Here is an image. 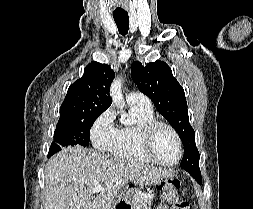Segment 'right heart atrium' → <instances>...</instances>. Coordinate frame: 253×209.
<instances>
[{
	"label": "right heart atrium",
	"instance_id": "obj_1",
	"mask_svg": "<svg viewBox=\"0 0 253 209\" xmlns=\"http://www.w3.org/2000/svg\"><path fill=\"white\" fill-rule=\"evenodd\" d=\"M118 131L113 113L109 110L101 113L90 128V138L94 148L100 151H112L118 139Z\"/></svg>",
	"mask_w": 253,
	"mask_h": 209
}]
</instances>
